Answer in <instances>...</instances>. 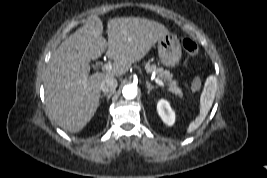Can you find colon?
Listing matches in <instances>:
<instances>
[{"mask_svg":"<svg viewBox=\"0 0 267 178\" xmlns=\"http://www.w3.org/2000/svg\"><path fill=\"white\" fill-rule=\"evenodd\" d=\"M182 46L187 54L191 56H196L199 52L197 44L190 38H184L182 40ZM201 86V80L199 78H195L192 82V88L197 90Z\"/></svg>","mask_w":267,"mask_h":178,"instance_id":"1","label":"colon"}]
</instances>
